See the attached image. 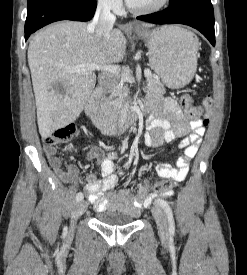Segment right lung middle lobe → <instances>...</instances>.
<instances>
[{
	"instance_id": "dd1d6c3e",
	"label": "right lung middle lobe",
	"mask_w": 247,
	"mask_h": 275,
	"mask_svg": "<svg viewBox=\"0 0 247 275\" xmlns=\"http://www.w3.org/2000/svg\"><path fill=\"white\" fill-rule=\"evenodd\" d=\"M32 1H35V0H28V3H29V2H32Z\"/></svg>"
}]
</instances>
